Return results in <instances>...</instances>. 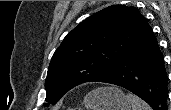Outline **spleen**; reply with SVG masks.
<instances>
[{
	"label": "spleen",
	"instance_id": "3e777b00",
	"mask_svg": "<svg viewBox=\"0 0 171 110\" xmlns=\"http://www.w3.org/2000/svg\"><path fill=\"white\" fill-rule=\"evenodd\" d=\"M126 98L130 102L132 110H151L150 106L146 102L132 93H128Z\"/></svg>",
	"mask_w": 171,
	"mask_h": 110
}]
</instances>
